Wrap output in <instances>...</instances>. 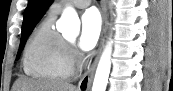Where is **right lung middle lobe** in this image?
<instances>
[{
	"label": "right lung middle lobe",
	"mask_w": 173,
	"mask_h": 91,
	"mask_svg": "<svg viewBox=\"0 0 173 91\" xmlns=\"http://www.w3.org/2000/svg\"><path fill=\"white\" fill-rule=\"evenodd\" d=\"M31 32L27 33L23 38H21V43H20V48H19V51H22L24 45H25V42H26V38L27 36L30 35ZM18 56H19V53H18Z\"/></svg>",
	"instance_id": "1"
}]
</instances>
